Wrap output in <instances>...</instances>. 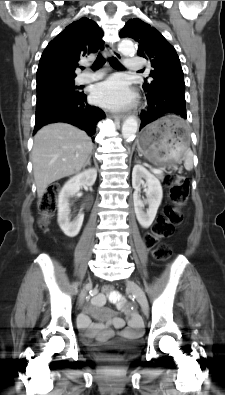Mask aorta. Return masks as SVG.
I'll return each instance as SVG.
<instances>
[{
    "label": "aorta",
    "mask_w": 225,
    "mask_h": 395,
    "mask_svg": "<svg viewBox=\"0 0 225 395\" xmlns=\"http://www.w3.org/2000/svg\"><path fill=\"white\" fill-rule=\"evenodd\" d=\"M119 51L125 55L130 56L136 53L134 44L129 40H122L118 45ZM138 130V121L135 117H128L122 125V136L124 139H133Z\"/></svg>",
    "instance_id": "762f6f07"
}]
</instances>
